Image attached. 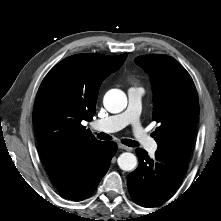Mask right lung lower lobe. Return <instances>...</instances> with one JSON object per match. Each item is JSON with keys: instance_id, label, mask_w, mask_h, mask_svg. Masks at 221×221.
<instances>
[{"instance_id": "obj_1", "label": "right lung lower lobe", "mask_w": 221, "mask_h": 221, "mask_svg": "<svg viewBox=\"0 0 221 221\" xmlns=\"http://www.w3.org/2000/svg\"><path fill=\"white\" fill-rule=\"evenodd\" d=\"M116 150L115 142H100L92 148L75 152L46 165V170L64 197L81 201L94 192L108 171Z\"/></svg>"}]
</instances>
